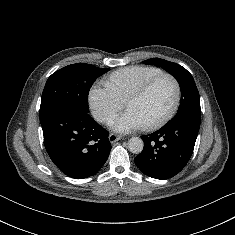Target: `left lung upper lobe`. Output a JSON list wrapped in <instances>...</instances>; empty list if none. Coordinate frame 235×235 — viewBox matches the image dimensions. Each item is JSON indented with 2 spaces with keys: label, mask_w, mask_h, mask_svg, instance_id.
I'll use <instances>...</instances> for the list:
<instances>
[{
  "label": "left lung upper lobe",
  "mask_w": 235,
  "mask_h": 235,
  "mask_svg": "<svg viewBox=\"0 0 235 235\" xmlns=\"http://www.w3.org/2000/svg\"><path fill=\"white\" fill-rule=\"evenodd\" d=\"M143 63L163 67L176 78L180 85L181 102L179 109L176 116L169 122L188 116L201 118L199 92L192 75L184 67L160 58L148 59L143 61Z\"/></svg>",
  "instance_id": "obj_1"
}]
</instances>
